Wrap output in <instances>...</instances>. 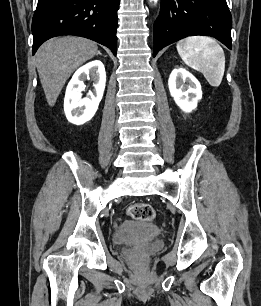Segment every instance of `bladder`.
<instances>
[{
  "label": "bladder",
  "instance_id": "1",
  "mask_svg": "<svg viewBox=\"0 0 261 306\" xmlns=\"http://www.w3.org/2000/svg\"><path fill=\"white\" fill-rule=\"evenodd\" d=\"M162 234L155 223L142 220H125L116 226L113 241L116 245H130L153 240Z\"/></svg>",
  "mask_w": 261,
  "mask_h": 306
}]
</instances>
